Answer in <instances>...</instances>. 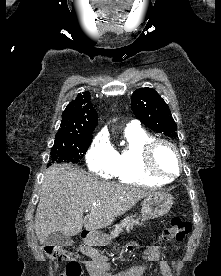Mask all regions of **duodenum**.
<instances>
[{"label":"duodenum","instance_id":"1","mask_svg":"<svg viewBox=\"0 0 221 276\" xmlns=\"http://www.w3.org/2000/svg\"><path fill=\"white\" fill-rule=\"evenodd\" d=\"M81 236L85 239V240H87L88 238H89V233H88V231H82L81 232Z\"/></svg>","mask_w":221,"mask_h":276}]
</instances>
